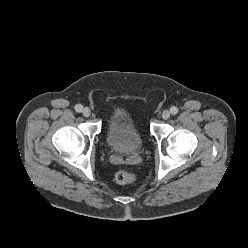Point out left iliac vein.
<instances>
[{"instance_id":"4c4485c4","label":"left iliac vein","mask_w":248,"mask_h":248,"mask_svg":"<svg viewBox=\"0 0 248 248\" xmlns=\"http://www.w3.org/2000/svg\"><path fill=\"white\" fill-rule=\"evenodd\" d=\"M170 111H168V110H164L163 112H162V118L164 119V120H167V119H169L170 118Z\"/></svg>"}]
</instances>
